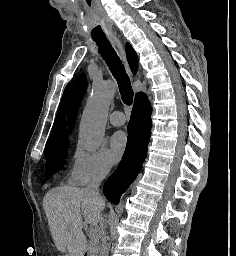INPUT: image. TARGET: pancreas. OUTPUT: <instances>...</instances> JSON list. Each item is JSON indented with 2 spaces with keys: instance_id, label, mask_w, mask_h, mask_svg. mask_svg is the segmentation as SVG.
Listing matches in <instances>:
<instances>
[{
  "instance_id": "pancreas-1",
  "label": "pancreas",
  "mask_w": 236,
  "mask_h": 256,
  "mask_svg": "<svg viewBox=\"0 0 236 256\" xmlns=\"http://www.w3.org/2000/svg\"><path fill=\"white\" fill-rule=\"evenodd\" d=\"M102 233V227L101 226H94L93 232L90 234V248L91 254H100L101 253V244H100V238Z\"/></svg>"
}]
</instances>
